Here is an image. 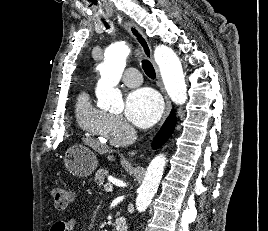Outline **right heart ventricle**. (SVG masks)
Wrapping results in <instances>:
<instances>
[{
	"label": "right heart ventricle",
	"mask_w": 268,
	"mask_h": 231,
	"mask_svg": "<svg viewBox=\"0 0 268 231\" xmlns=\"http://www.w3.org/2000/svg\"><path fill=\"white\" fill-rule=\"evenodd\" d=\"M75 116L79 127L86 135L105 140L104 128L109 115L92 103L87 90L82 91L77 98Z\"/></svg>",
	"instance_id": "1"
}]
</instances>
